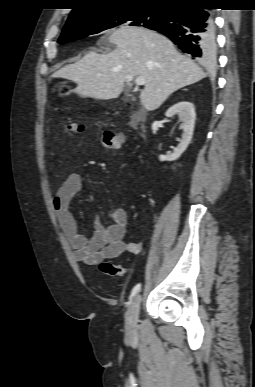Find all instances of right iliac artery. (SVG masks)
I'll list each match as a JSON object with an SVG mask.
<instances>
[{
  "instance_id": "obj_1",
  "label": "right iliac artery",
  "mask_w": 255,
  "mask_h": 387,
  "mask_svg": "<svg viewBox=\"0 0 255 387\" xmlns=\"http://www.w3.org/2000/svg\"><path fill=\"white\" fill-rule=\"evenodd\" d=\"M140 288H141V284H137V285L132 289L131 295H132V296H135V295L139 292Z\"/></svg>"
}]
</instances>
